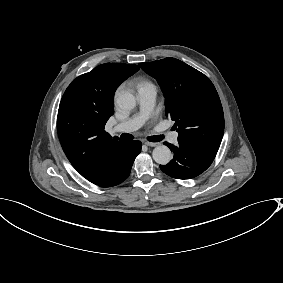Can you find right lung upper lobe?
<instances>
[{
  "instance_id": "obj_1",
  "label": "right lung upper lobe",
  "mask_w": 283,
  "mask_h": 283,
  "mask_svg": "<svg viewBox=\"0 0 283 283\" xmlns=\"http://www.w3.org/2000/svg\"><path fill=\"white\" fill-rule=\"evenodd\" d=\"M138 70L137 65L105 63L80 75L66 89L58 110L57 131L67 158L83 177L114 160L128 143L112 138L104 128L114 113L117 87Z\"/></svg>"
}]
</instances>
